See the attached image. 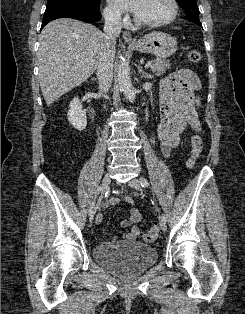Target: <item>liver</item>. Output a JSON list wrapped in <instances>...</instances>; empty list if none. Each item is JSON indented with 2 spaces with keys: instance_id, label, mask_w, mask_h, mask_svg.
<instances>
[{
  "instance_id": "1",
  "label": "liver",
  "mask_w": 245,
  "mask_h": 314,
  "mask_svg": "<svg viewBox=\"0 0 245 314\" xmlns=\"http://www.w3.org/2000/svg\"><path fill=\"white\" fill-rule=\"evenodd\" d=\"M105 34L93 25L61 18L39 36L38 80L47 106L85 82L96 70Z\"/></svg>"
}]
</instances>
